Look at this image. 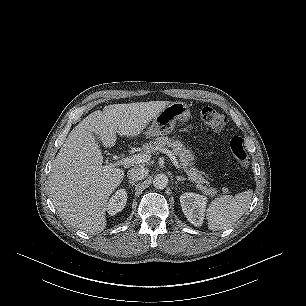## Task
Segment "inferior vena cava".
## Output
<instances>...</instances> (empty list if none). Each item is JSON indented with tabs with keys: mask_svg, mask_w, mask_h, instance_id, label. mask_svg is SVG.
<instances>
[{
	"mask_svg": "<svg viewBox=\"0 0 306 306\" xmlns=\"http://www.w3.org/2000/svg\"><path fill=\"white\" fill-rule=\"evenodd\" d=\"M128 178L132 181H139L144 179L148 175V169L144 167H133L127 172Z\"/></svg>",
	"mask_w": 306,
	"mask_h": 306,
	"instance_id": "obj_1",
	"label": "inferior vena cava"
}]
</instances>
